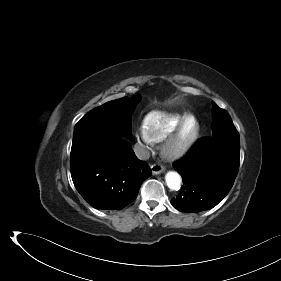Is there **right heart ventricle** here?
<instances>
[{
	"mask_svg": "<svg viewBox=\"0 0 281 281\" xmlns=\"http://www.w3.org/2000/svg\"><path fill=\"white\" fill-rule=\"evenodd\" d=\"M187 115V113L154 110L145 116L143 129L152 142H161Z\"/></svg>",
	"mask_w": 281,
	"mask_h": 281,
	"instance_id": "e07e8e85",
	"label": "right heart ventricle"
}]
</instances>
